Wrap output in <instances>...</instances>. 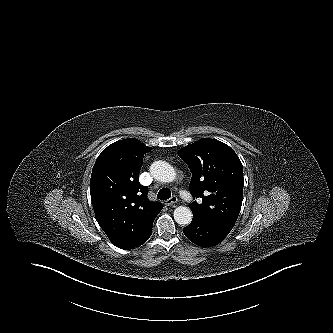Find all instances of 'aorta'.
<instances>
[{
	"label": "aorta",
	"instance_id": "aorta-1",
	"mask_svg": "<svg viewBox=\"0 0 333 333\" xmlns=\"http://www.w3.org/2000/svg\"><path fill=\"white\" fill-rule=\"evenodd\" d=\"M152 176L161 182H172L176 177L174 168L165 161H155L150 166ZM174 219L180 225H188L192 221V211L185 206H178L174 210Z\"/></svg>",
	"mask_w": 333,
	"mask_h": 333
}]
</instances>
